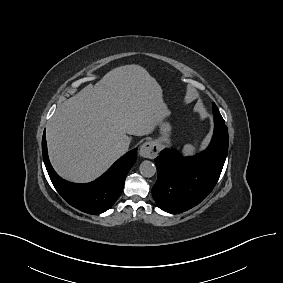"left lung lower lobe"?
<instances>
[{
    "label": "left lung lower lobe",
    "mask_w": 283,
    "mask_h": 283,
    "mask_svg": "<svg viewBox=\"0 0 283 283\" xmlns=\"http://www.w3.org/2000/svg\"><path fill=\"white\" fill-rule=\"evenodd\" d=\"M209 147L194 157L165 149L155 158L158 178L152 195L160 209L181 213L202 202L216 185L228 152V129L222 116L214 115Z\"/></svg>",
    "instance_id": "obj_1"
}]
</instances>
